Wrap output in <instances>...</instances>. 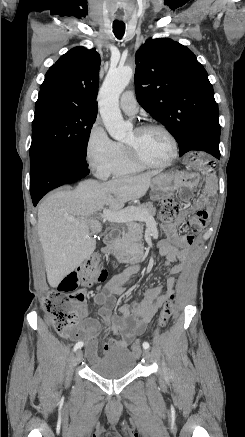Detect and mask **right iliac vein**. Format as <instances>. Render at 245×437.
<instances>
[{"instance_id":"63e3f726","label":"right iliac vein","mask_w":245,"mask_h":437,"mask_svg":"<svg viewBox=\"0 0 245 437\" xmlns=\"http://www.w3.org/2000/svg\"><path fill=\"white\" fill-rule=\"evenodd\" d=\"M82 356H83L82 350L81 349L77 350L76 354H75V363L76 364L81 361Z\"/></svg>"}]
</instances>
